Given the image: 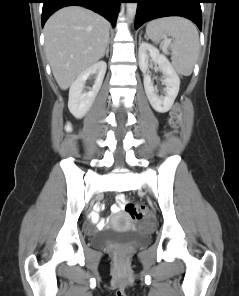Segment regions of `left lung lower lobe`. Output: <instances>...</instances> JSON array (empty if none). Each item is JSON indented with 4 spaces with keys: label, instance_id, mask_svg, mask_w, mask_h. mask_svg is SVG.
Returning <instances> with one entry per match:
<instances>
[{
    "label": "left lung lower lobe",
    "instance_id": "obj_1",
    "mask_svg": "<svg viewBox=\"0 0 239 296\" xmlns=\"http://www.w3.org/2000/svg\"><path fill=\"white\" fill-rule=\"evenodd\" d=\"M138 3L135 29L145 22L167 16H182L192 20L202 30V0H132Z\"/></svg>",
    "mask_w": 239,
    "mask_h": 296
}]
</instances>
